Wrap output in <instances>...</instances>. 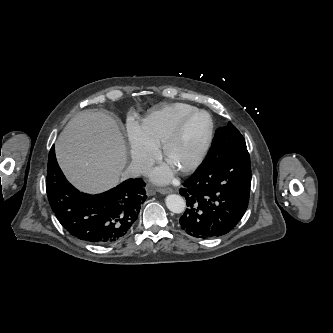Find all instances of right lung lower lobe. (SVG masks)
I'll list each match as a JSON object with an SVG mask.
<instances>
[{
  "label": "right lung lower lobe",
  "mask_w": 333,
  "mask_h": 333,
  "mask_svg": "<svg viewBox=\"0 0 333 333\" xmlns=\"http://www.w3.org/2000/svg\"><path fill=\"white\" fill-rule=\"evenodd\" d=\"M145 182L128 179L97 195L78 191L58 166L54 146L48 158L46 191L50 206L72 236L92 244H109L126 235L146 200Z\"/></svg>",
  "instance_id": "1"
}]
</instances>
